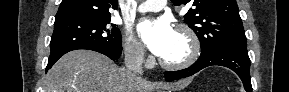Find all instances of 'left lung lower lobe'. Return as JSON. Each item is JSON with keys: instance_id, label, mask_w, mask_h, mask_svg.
I'll return each instance as SVG.
<instances>
[{"instance_id": "0a47b994", "label": "left lung lower lobe", "mask_w": 289, "mask_h": 92, "mask_svg": "<svg viewBox=\"0 0 289 92\" xmlns=\"http://www.w3.org/2000/svg\"><path fill=\"white\" fill-rule=\"evenodd\" d=\"M220 65L233 70L242 80L247 92H252L250 79V59L246 46L232 45L218 48L200 58L189 68L179 71L165 72V79L169 82L191 76L201 69Z\"/></svg>"}]
</instances>
